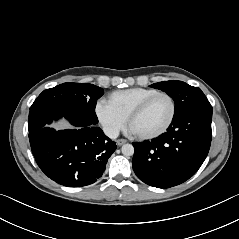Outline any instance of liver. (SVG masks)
Returning <instances> with one entry per match:
<instances>
[{"instance_id":"6515ba94","label":"liver","mask_w":239,"mask_h":239,"mask_svg":"<svg viewBox=\"0 0 239 239\" xmlns=\"http://www.w3.org/2000/svg\"><path fill=\"white\" fill-rule=\"evenodd\" d=\"M56 129H63V128H68L69 125L66 122H61L58 125H53Z\"/></svg>"}]
</instances>
